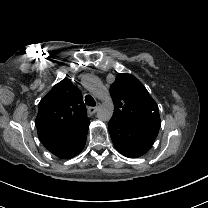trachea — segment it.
<instances>
[{
    "instance_id": "obj_1",
    "label": "trachea",
    "mask_w": 208,
    "mask_h": 208,
    "mask_svg": "<svg viewBox=\"0 0 208 208\" xmlns=\"http://www.w3.org/2000/svg\"><path fill=\"white\" fill-rule=\"evenodd\" d=\"M85 103H86L88 106H95V105H96L95 99H94L91 95H87V96L85 97Z\"/></svg>"
}]
</instances>
